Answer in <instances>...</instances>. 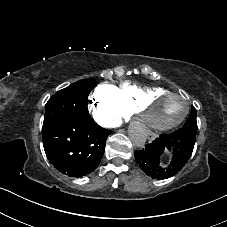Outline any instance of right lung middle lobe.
<instances>
[{
    "mask_svg": "<svg viewBox=\"0 0 227 227\" xmlns=\"http://www.w3.org/2000/svg\"><path fill=\"white\" fill-rule=\"evenodd\" d=\"M95 86L83 79L55 93L45 105L43 128L64 118L89 115L88 95Z\"/></svg>",
    "mask_w": 227,
    "mask_h": 227,
    "instance_id": "dd1d6c3e",
    "label": "right lung middle lobe"
}]
</instances>
